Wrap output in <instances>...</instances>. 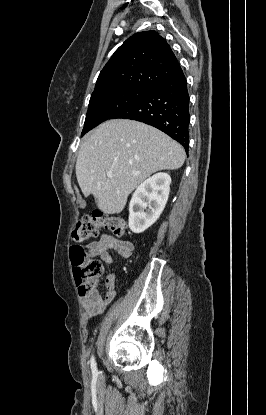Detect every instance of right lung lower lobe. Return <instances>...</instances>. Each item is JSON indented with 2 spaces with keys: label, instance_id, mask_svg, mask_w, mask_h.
Returning a JSON list of instances; mask_svg holds the SVG:
<instances>
[{
  "label": "right lung lower lobe",
  "instance_id": "obj_1",
  "mask_svg": "<svg viewBox=\"0 0 266 415\" xmlns=\"http://www.w3.org/2000/svg\"><path fill=\"white\" fill-rule=\"evenodd\" d=\"M115 118L136 120L154 126L182 144L188 152L189 94L184 74L156 85L143 99L110 119Z\"/></svg>",
  "mask_w": 266,
  "mask_h": 415
}]
</instances>
